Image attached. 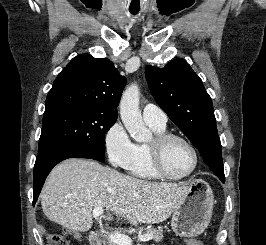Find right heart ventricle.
Instances as JSON below:
<instances>
[{
  "mask_svg": "<svg viewBox=\"0 0 266 245\" xmlns=\"http://www.w3.org/2000/svg\"><path fill=\"white\" fill-rule=\"evenodd\" d=\"M148 125L156 134L166 132V126H160L157 124ZM130 173L133 177L145 182H155L160 180V177L155 173L150 163L147 144L137 145V153L130 169Z\"/></svg>",
  "mask_w": 266,
  "mask_h": 245,
  "instance_id": "1",
  "label": "right heart ventricle"
}]
</instances>
